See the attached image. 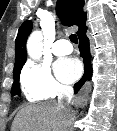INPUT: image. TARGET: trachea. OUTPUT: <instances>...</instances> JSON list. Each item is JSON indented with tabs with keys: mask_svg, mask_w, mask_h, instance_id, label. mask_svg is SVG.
Listing matches in <instances>:
<instances>
[{
	"mask_svg": "<svg viewBox=\"0 0 117 131\" xmlns=\"http://www.w3.org/2000/svg\"><path fill=\"white\" fill-rule=\"evenodd\" d=\"M69 39H70L71 42H73V43H75V44L78 43V39H77V36H76L75 34H71V35L69 36Z\"/></svg>",
	"mask_w": 117,
	"mask_h": 131,
	"instance_id": "1",
	"label": "trachea"
}]
</instances>
